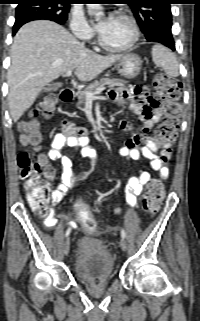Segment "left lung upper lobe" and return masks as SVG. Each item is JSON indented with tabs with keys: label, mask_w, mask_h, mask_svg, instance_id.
<instances>
[{
	"label": "left lung upper lobe",
	"mask_w": 200,
	"mask_h": 321,
	"mask_svg": "<svg viewBox=\"0 0 200 321\" xmlns=\"http://www.w3.org/2000/svg\"><path fill=\"white\" fill-rule=\"evenodd\" d=\"M130 5L137 23L148 41L173 38L172 0H125Z\"/></svg>",
	"instance_id": "obj_1"
}]
</instances>
